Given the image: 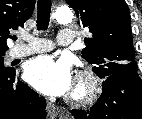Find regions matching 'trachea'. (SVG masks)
Segmentation results:
<instances>
[{"instance_id":"obj_1","label":"trachea","mask_w":142,"mask_h":119,"mask_svg":"<svg viewBox=\"0 0 142 119\" xmlns=\"http://www.w3.org/2000/svg\"><path fill=\"white\" fill-rule=\"evenodd\" d=\"M51 0H38L37 29L46 30L49 25ZM17 37H13L16 40Z\"/></svg>"}]
</instances>
